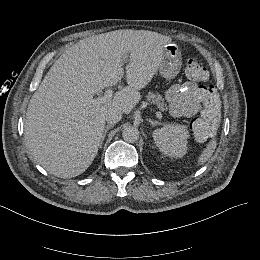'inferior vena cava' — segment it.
I'll return each mask as SVG.
<instances>
[{
	"label": "inferior vena cava",
	"mask_w": 260,
	"mask_h": 260,
	"mask_svg": "<svg viewBox=\"0 0 260 260\" xmlns=\"http://www.w3.org/2000/svg\"><path fill=\"white\" fill-rule=\"evenodd\" d=\"M122 118V114L117 109H111L107 112L105 122L108 125H114L118 123ZM105 130V124L100 119V123L94 126V133L101 134Z\"/></svg>",
	"instance_id": "obj_1"
}]
</instances>
